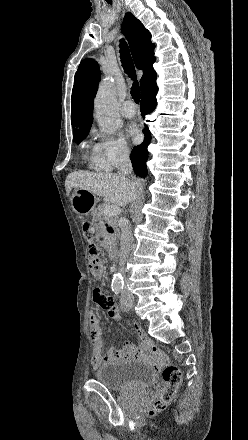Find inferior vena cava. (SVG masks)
Segmentation results:
<instances>
[{"mask_svg": "<svg viewBox=\"0 0 248 440\" xmlns=\"http://www.w3.org/2000/svg\"><path fill=\"white\" fill-rule=\"evenodd\" d=\"M132 172V164L129 158V151L125 150L122 152L120 156V171L119 175H129ZM121 252H120V260L119 264L121 266L122 272H124V266L126 262V258L133 246V235L131 231V227L129 225H124L121 229ZM127 295L130 296V293L127 292Z\"/></svg>", "mask_w": 248, "mask_h": 440, "instance_id": "inferior-vena-cava-1", "label": "inferior vena cava"}]
</instances>
